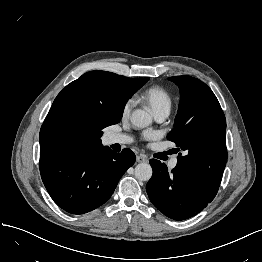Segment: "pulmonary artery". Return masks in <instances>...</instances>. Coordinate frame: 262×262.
<instances>
[{"label": "pulmonary artery", "instance_id": "e3ab8cb5", "mask_svg": "<svg viewBox=\"0 0 262 262\" xmlns=\"http://www.w3.org/2000/svg\"><path fill=\"white\" fill-rule=\"evenodd\" d=\"M169 113H170L169 109H163V110L157 111L155 113V119L158 122H162L169 116ZM107 140L109 144H120V145H125L132 141L130 136L126 134H121V133H110L107 137ZM176 164H177V159L171 161L169 166L171 168H174Z\"/></svg>", "mask_w": 262, "mask_h": 262}]
</instances>
